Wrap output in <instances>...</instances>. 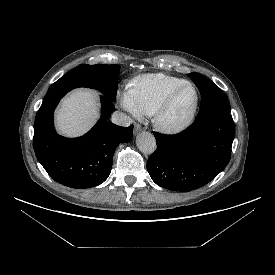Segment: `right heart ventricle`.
<instances>
[{
    "instance_id": "1",
    "label": "right heart ventricle",
    "mask_w": 275,
    "mask_h": 275,
    "mask_svg": "<svg viewBox=\"0 0 275 275\" xmlns=\"http://www.w3.org/2000/svg\"><path fill=\"white\" fill-rule=\"evenodd\" d=\"M184 82L181 78L163 73L146 74L137 78L132 90L141 114L152 115L165 96Z\"/></svg>"
}]
</instances>
